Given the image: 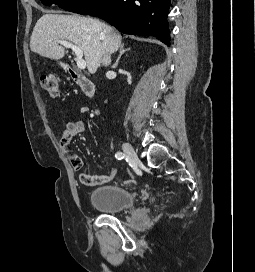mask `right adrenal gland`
<instances>
[{
  "instance_id": "right-adrenal-gland-1",
  "label": "right adrenal gland",
  "mask_w": 255,
  "mask_h": 272,
  "mask_svg": "<svg viewBox=\"0 0 255 272\" xmlns=\"http://www.w3.org/2000/svg\"><path fill=\"white\" fill-rule=\"evenodd\" d=\"M129 50H130V48L124 49V43H122V44L120 45L119 56H118V58H117L115 64L113 65L114 68H116V67L118 66V63H119V61H120L122 55H123L125 52L129 51Z\"/></svg>"
}]
</instances>
